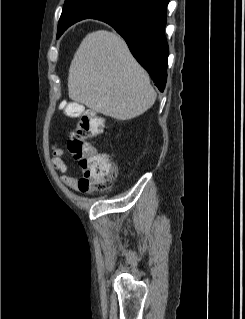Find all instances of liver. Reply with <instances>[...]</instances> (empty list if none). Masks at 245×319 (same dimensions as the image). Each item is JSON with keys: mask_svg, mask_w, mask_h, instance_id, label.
Returning a JSON list of instances; mask_svg holds the SVG:
<instances>
[{"mask_svg": "<svg viewBox=\"0 0 245 319\" xmlns=\"http://www.w3.org/2000/svg\"><path fill=\"white\" fill-rule=\"evenodd\" d=\"M69 98L118 120L147 111L156 100L148 73L113 32L86 35L74 54L68 75Z\"/></svg>", "mask_w": 245, "mask_h": 319, "instance_id": "liver-1", "label": "liver"}]
</instances>
